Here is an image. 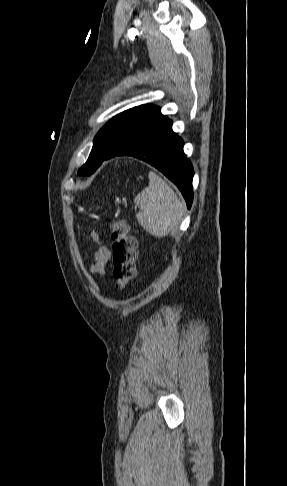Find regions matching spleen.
Returning a JSON list of instances; mask_svg holds the SVG:
<instances>
[{
  "instance_id": "1",
  "label": "spleen",
  "mask_w": 287,
  "mask_h": 486,
  "mask_svg": "<svg viewBox=\"0 0 287 486\" xmlns=\"http://www.w3.org/2000/svg\"><path fill=\"white\" fill-rule=\"evenodd\" d=\"M134 203L138 223L152 236H167L182 220L184 203L173 189L155 172L149 173V186L138 193Z\"/></svg>"
}]
</instances>
